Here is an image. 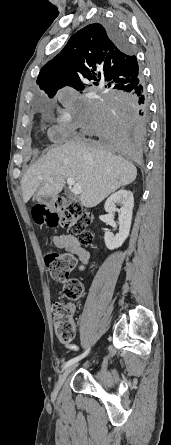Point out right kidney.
Here are the masks:
<instances>
[{"instance_id": "ca27d5eb", "label": "right kidney", "mask_w": 171, "mask_h": 445, "mask_svg": "<svg viewBox=\"0 0 171 445\" xmlns=\"http://www.w3.org/2000/svg\"><path fill=\"white\" fill-rule=\"evenodd\" d=\"M115 204H121V209L118 210ZM133 207V193L129 190L121 189L106 200L104 208L109 217H113L115 212L119 211V233L114 235L107 229L105 231L104 241L109 250L120 247L129 236Z\"/></svg>"}]
</instances>
